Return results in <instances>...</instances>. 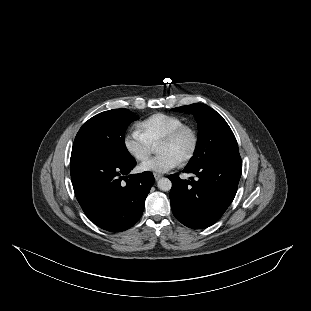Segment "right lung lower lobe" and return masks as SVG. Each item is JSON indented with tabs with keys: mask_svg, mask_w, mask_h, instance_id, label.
<instances>
[{
	"mask_svg": "<svg viewBox=\"0 0 311 311\" xmlns=\"http://www.w3.org/2000/svg\"><path fill=\"white\" fill-rule=\"evenodd\" d=\"M135 165V159L122 161L103 155H85L70 161L76 198L86 216L100 228L124 231L142 216L155 179L149 171L128 175ZM122 179L126 184L121 183Z\"/></svg>",
	"mask_w": 311,
	"mask_h": 311,
	"instance_id": "obj_1",
	"label": "right lung lower lobe"
}]
</instances>
